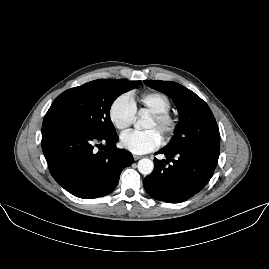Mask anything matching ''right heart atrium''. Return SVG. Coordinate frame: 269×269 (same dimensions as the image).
<instances>
[{
	"mask_svg": "<svg viewBox=\"0 0 269 269\" xmlns=\"http://www.w3.org/2000/svg\"><path fill=\"white\" fill-rule=\"evenodd\" d=\"M108 117L112 125L120 131H125L131 127L136 118L133 97L127 93L118 95L109 106Z\"/></svg>",
	"mask_w": 269,
	"mask_h": 269,
	"instance_id": "obj_1",
	"label": "right heart atrium"
}]
</instances>
